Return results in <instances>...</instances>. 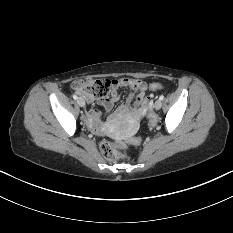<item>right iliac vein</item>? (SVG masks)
Returning a JSON list of instances; mask_svg holds the SVG:
<instances>
[{
    "mask_svg": "<svg viewBox=\"0 0 233 233\" xmlns=\"http://www.w3.org/2000/svg\"><path fill=\"white\" fill-rule=\"evenodd\" d=\"M78 104L81 106V107H84L85 106V101L83 98H78L77 100Z\"/></svg>",
    "mask_w": 233,
    "mask_h": 233,
    "instance_id": "1",
    "label": "right iliac vein"
}]
</instances>
